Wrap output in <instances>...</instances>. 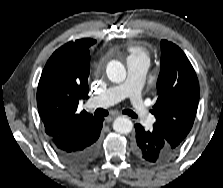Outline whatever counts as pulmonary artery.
I'll return each mask as SVG.
<instances>
[{
  "instance_id": "e3ab8cb5",
  "label": "pulmonary artery",
  "mask_w": 223,
  "mask_h": 188,
  "mask_svg": "<svg viewBox=\"0 0 223 188\" xmlns=\"http://www.w3.org/2000/svg\"><path fill=\"white\" fill-rule=\"evenodd\" d=\"M148 59L142 55H131L127 59V77L116 85L109 87L102 94L89 101L90 107H108L128 98L132 111L144 125L153 122L141 93L142 83L148 69Z\"/></svg>"
}]
</instances>
